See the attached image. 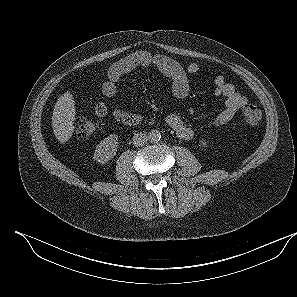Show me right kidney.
I'll return each mask as SVG.
<instances>
[{
	"label": "right kidney",
	"instance_id": "right-kidney-1",
	"mask_svg": "<svg viewBox=\"0 0 297 297\" xmlns=\"http://www.w3.org/2000/svg\"><path fill=\"white\" fill-rule=\"evenodd\" d=\"M117 148L118 136L110 134L96 146L93 159L98 163L105 164L114 158Z\"/></svg>",
	"mask_w": 297,
	"mask_h": 297
}]
</instances>
